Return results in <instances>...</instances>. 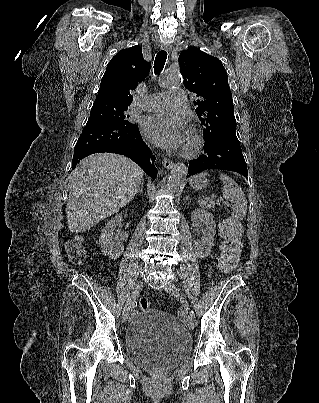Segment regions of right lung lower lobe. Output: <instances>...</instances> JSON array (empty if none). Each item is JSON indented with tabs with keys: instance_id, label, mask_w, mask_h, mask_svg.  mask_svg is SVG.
Wrapping results in <instances>:
<instances>
[{
	"instance_id": "1",
	"label": "right lung lower lobe",
	"mask_w": 319,
	"mask_h": 403,
	"mask_svg": "<svg viewBox=\"0 0 319 403\" xmlns=\"http://www.w3.org/2000/svg\"><path fill=\"white\" fill-rule=\"evenodd\" d=\"M98 152L117 153L132 159L152 178L157 169L151 163L155 156L142 140L137 125L125 126L106 122L86 124L75 148L72 169L84 157Z\"/></svg>"
}]
</instances>
